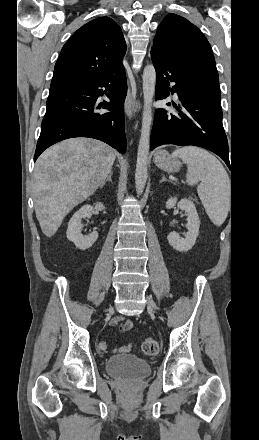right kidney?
I'll return each mask as SVG.
<instances>
[{
	"instance_id": "1",
	"label": "right kidney",
	"mask_w": 259,
	"mask_h": 440,
	"mask_svg": "<svg viewBox=\"0 0 259 440\" xmlns=\"http://www.w3.org/2000/svg\"><path fill=\"white\" fill-rule=\"evenodd\" d=\"M105 210V206L102 203H96L95 206L85 205L81 207L70 219L68 229L66 232L68 240L72 241L75 246L80 250H86L90 248L98 238V232L93 231L89 235H83L80 230L82 229V218L91 217L93 210Z\"/></svg>"
}]
</instances>
